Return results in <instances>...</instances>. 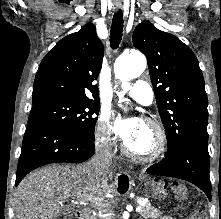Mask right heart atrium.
<instances>
[{
  "instance_id": "right-heart-atrium-1",
  "label": "right heart atrium",
  "mask_w": 221,
  "mask_h": 219,
  "mask_svg": "<svg viewBox=\"0 0 221 219\" xmlns=\"http://www.w3.org/2000/svg\"><path fill=\"white\" fill-rule=\"evenodd\" d=\"M95 140L105 149L111 146V125L107 113L102 112L97 119Z\"/></svg>"
}]
</instances>
